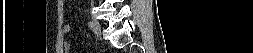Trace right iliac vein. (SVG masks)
Returning a JSON list of instances; mask_svg holds the SVG:
<instances>
[{
    "mask_svg": "<svg viewBox=\"0 0 253 53\" xmlns=\"http://www.w3.org/2000/svg\"><path fill=\"white\" fill-rule=\"evenodd\" d=\"M92 22H93V26H94V31H95V33H96L98 36H100V35H101V26H100L99 21H98L95 17H93Z\"/></svg>",
    "mask_w": 253,
    "mask_h": 53,
    "instance_id": "63e3f726",
    "label": "right iliac vein"
}]
</instances>
